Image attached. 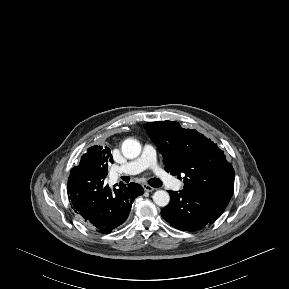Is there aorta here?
I'll return each instance as SVG.
<instances>
[{"label":"aorta","mask_w":289,"mask_h":289,"mask_svg":"<svg viewBox=\"0 0 289 289\" xmlns=\"http://www.w3.org/2000/svg\"><path fill=\"white\" fill-rule=\"evenodd\" d=\"M122 153L128 159H134L141 153V144L135 139H126L122 144ZM153 201L160 207H165L169 204L170 196L164 190H158L153 195Z\"/></svg>","instance_id":"obj_1"}]
</instances>
